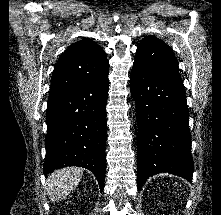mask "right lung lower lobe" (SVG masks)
<instances>
[{"label": "right lung lower lobe", "mask_w": 221, "mask_h": 215, "mask_svg": "<svg viewBox=\"0 0 221 215\" xmlns=\"http://www.w3.org/2000/svg\"><path fill=\"white\" fill-rule=\"evenodd\" d=\"M108 73L48 99L45 175L61 167L81 166L95 174L103 190Z\"/></svg>", "instance_id": "right-lung-lower-lobe-1"}]
</instances>
